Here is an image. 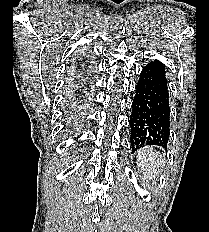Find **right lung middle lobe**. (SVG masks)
<instances>
[{
    "mask_svg": "<svg viewBox=\"0 0 209 232\" xmlns=\"http://www.w3.org/2000/svg\"><path fill=\"white\" fill-rule=\"evenodd\" d=\"M86 70H83V72H85ZM75 76V75H74ZM72 76V78L74 79L75 77ZM79 94H80V89L70 86L67 92V100H68V106H67V110L68 111H72L74 110L78 105H79Z\"/></svg>",
    "mask_w": 209,
    "mask_h": 232,
    "instance_id": "dd1d6c3e",
    "label": "right lung middle lobe"
}]
</instances>
